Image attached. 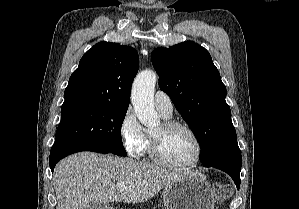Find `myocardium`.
Here are the masks:
<instances>
[{
    "instance_id": "f54148a6",
    "label": "myocardium",
    "mask_w": 299,
    "mask_h": 209,
    "mask_svg": "<svg viewBox=\"0 0 299 209\" xmlns=\"http://www.w3.org/2000/svg\"><path fill=\"white\" fill-rule=\"evenodd\" d=\"M162 126L166 132L181 129L189 133L196 143V147H197L196 155L195 158L189 163L186 164L173 163L164 156L161 147V140L151 134L150 144H149V154L152 160L163 167L172 168V169L185 170L197 166L203 154V145L197 133L187 124L178 121L166 120L162 123Z\"/></svg>"
}]
</instances>
